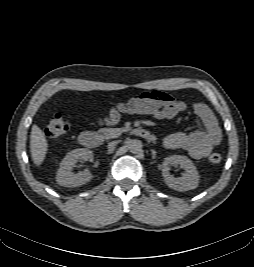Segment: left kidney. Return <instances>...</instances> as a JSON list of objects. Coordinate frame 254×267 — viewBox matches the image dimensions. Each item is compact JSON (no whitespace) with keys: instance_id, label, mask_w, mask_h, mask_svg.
Returning a JSON list of instances; mask_svg holds the SVG:
<instances>
[{"instance_id":"5707ae66","label":"left kidney","mask_w":254,"mask_h":267,"mask_svg":"<svg viewBox=\"0 0 254 267\" xmlns=\"http://www.w3.org/2000/svg\"><path fill=\"white\" fill-rule=\"evenodd\" d=\"M179 164L185 169V173L180 178H175L169 173V165ZM162 175L165 183L177 191H188L197 188L199 174L193 162L186 156L172 155L165 158L163 162Z\"/></svg>"}]
</instances>
